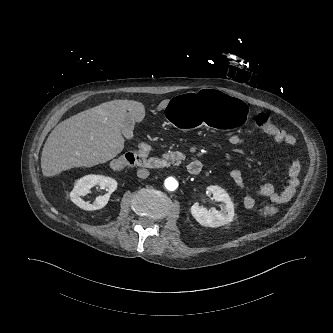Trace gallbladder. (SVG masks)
I'll use <instances>...</instances> for the list:
<instances>
[{"instance_id":"bac80fb5","label":"gallbladder","mask_w":333,"mask_h":333,"mask_svg":"<svg viewBox=\"0 0 333 333\" xmlns=\"http://www.w3.org/2000/svg\"><path fill=\"white\" fill-rule=\"evenodd\" d=\"M134 125H135L134 119L130 114H127L121 127V132L127 139L133 138Z\"/></svg>"}]
</instances>
